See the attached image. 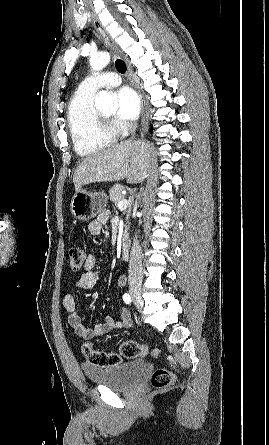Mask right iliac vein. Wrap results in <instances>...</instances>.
Listing matches in <instances>:
<instances>
[{
	"mask_svg": "<svg viewBox=\"0 0 269 445\" xmlns=\"http://www.w3.org/2000/svg\"><path fill=\"white\" fill-rule=\"evenodd\" d=\"M130 294H131L132 298L135 300L137 307L142 309L143 301L141 298L140 289L138 287H132V288H130Z\"/></svg>",
	"mask_w": 269,
	"mask_h": 445,
	"instance_id": "right-iliac-vein-1",
	"label": "right iliac vein"
}]
</instances>
